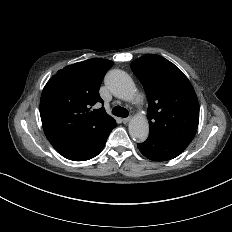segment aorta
<instances>
[{"instance_id":"aorta-1","label":"aorta","mask_w":232,"mask_h":232,"mask_svg":"<svg viewBox=\"0 0 232 232\" xmlns=\"http://www.w3.org/2000/svg\"><path fill=\"white\" fill-rule=\"evenodd\" d=\"M105 84L117 98L130 101L137 97V89L132 78L124 71L114 69L109 71ZM129 133L133 140L143 142L149 135V123L146 117L136 115L129 122Z\"/></svg>"}]
</instances>
